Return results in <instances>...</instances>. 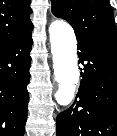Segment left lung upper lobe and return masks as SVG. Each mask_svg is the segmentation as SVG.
Listing matches in <instances>:
<instances>
[{
    "label": "left lung upper lobe",
    "mask_w": 117,
    "mask_h": 136,
    "mask_svg": "<svg viewBox=\"0 0 117 136\" xmlns=\"http://www.w3.org/2000/svg\"><path fill=\"white\" fill-rule=\"evenodd\" d=\"M52 13L65 19L77 39L117 48V30L109 0H51Z\"/></svg>",
    "instance_id": "1"
}]
</instances>
